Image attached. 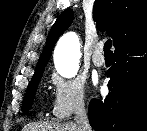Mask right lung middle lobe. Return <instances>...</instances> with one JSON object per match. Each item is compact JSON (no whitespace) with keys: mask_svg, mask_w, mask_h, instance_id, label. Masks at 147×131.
Segmentation results:
<instances>
[{"mask_svg":"<svg viewBox=\"0 0 147 131\" xmlns=\"http://www.w3.org/2000/svg\"><path fill=\"white\" fill-rule=\"evenodd\" d=\"M42 73L43 71L34 74L33 78L31 79V82L28 85L27 92L22 104L23 112L28 111L31 108L33 98L35 96V92L41 79Z\"/></svg>","mask_w":147,"mask_h":131,"instance_id":"1","label":"right lung middle lobe"}]
</instances>
